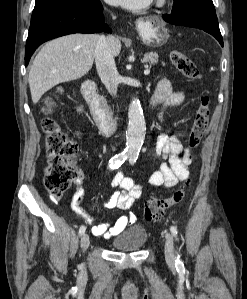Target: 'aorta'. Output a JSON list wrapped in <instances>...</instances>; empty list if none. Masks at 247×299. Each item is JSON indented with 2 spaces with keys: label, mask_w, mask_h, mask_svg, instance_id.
Listing matches in <instances>:
<instances>
[{
  "label": "aorta",
  "mask_w": 247,
  "mask_h": 299,
  "mask_svg": "<svg viewBox=\"0 0 247 299\" xmlns=\"http://www.w3.org/2000/svg\"><path fill=\"white\" fill-rule=\"evenodd\" d=\"M128 119L125 152L127 155L137 156L145 138L146 123L140 101L136 98L129 105Z\"/></svg>",
  "instance_id": "aorta-1"
}]
</instances>
